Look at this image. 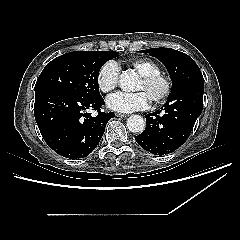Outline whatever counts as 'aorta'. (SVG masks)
Masks as SVG:
<instances>
[{
  "instance_id": "762f6f07",
  "label": "aorta",
  "mask_w": 240,
  "mask_h": 240,
  "mask_svg": "<svg viewBox=\"0 0 240 240\" xmlns=\"http://www.w3.org/2000/svg\"><path fill=\"white\" fill-rule=\"evenodd\" d=\"M137 76L133 71H124L120 75L119 85L122 90L130 91L134 88ZM127 128L132 133H142L145 129V121L140 115H131L126 121Z\"/></svg>"
}]
</instances>
